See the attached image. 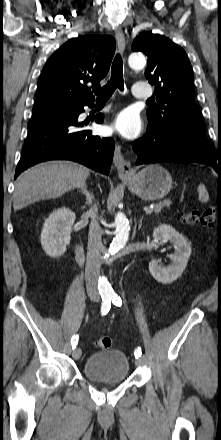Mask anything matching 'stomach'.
Returning a JSON list of instances; mask_svg holds the SVG:
<instances>
[{
    "label": "stomach",
    "mask_w": 221,
    "mask_h": 440,
    "mask_svg": "<svg viewBox=\"0 0 221 440\" xmlns=\"http://www.w3.org/2000/svg\"><path fill=\"white\" fill-rule=\"evenodd\" d=\"M129 189L143 200H158L172 189V176L161 165L151 164L123 177Z\"/></svg>",
    "instance_id": "0dacf381"
}]
</instances>
